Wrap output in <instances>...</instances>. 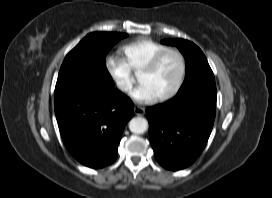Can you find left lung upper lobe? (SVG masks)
<instances>
[{"label": "left lung upper lobe", "mask_w": 272, "mask_h": 198, "mask_svg": "<svg viewBox=\"0 0 272 198\" xmlns=\"http://www.w3.org/2000/svg\"><path fill=\"white\" fill-rule=\"evenodd\" d=\"M162 43L176 46L185 57L186 78L179 91L200 84H215L205 55L194 43L184 39L163 40Z\"/></svg>", "instance_id": "left-lung-upper-lobe-1"}]
</instances>
